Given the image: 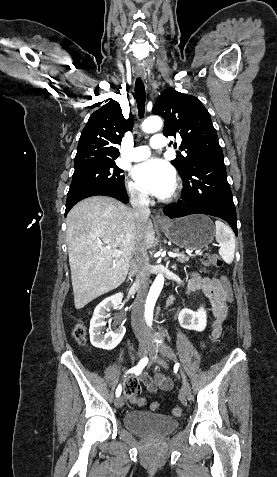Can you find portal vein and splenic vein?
Listing matches in <instances>:
<instances>
[{
    "label": "portal vein and splenic vein",
    "instance_id": "18ae733b",
    "mask_svg": "<svg viewBox=\"0 0 277 477\" xmlns=\"http://www.w3.org/2000/svg\"><path fill=\"white\" fill-rule=\"evenodd\" d=\"M200 254H201V252H198V253H197V255H200ZM122 255H123V251H122V250H114V251L112 252V256H113L114 258H120ZM168 255H169L170 257L185 256V255L180 254V253H177V252H169Z\"/></svg>",
    "mask_w": 277,
    "mask_h": 477
}]
</instances>
